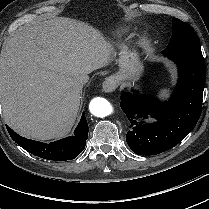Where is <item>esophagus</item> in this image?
Masks as SVG:
<instances>
[{
    "label": "esophagus",
    "instance_id": "obj_1",
    "mask_svg": "<svg viewBox=\"0 0 209 209\" xmlns=\"http://www.w3.org/2000/svg\"><path fill=\"white\" fill-rule=\"evenodd\" d=\"M118 79L115 76H110L105 79V81L102 84V89L104 92H113L118 87Z\"/></svg>",
    "mask_w": 209,
    "mask_h": 209
}]
</instances>
